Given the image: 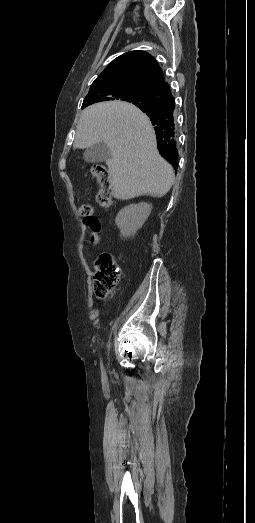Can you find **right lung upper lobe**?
Here are the masks:
<instances>
[{
  "label": "right lung upper lobe",
  "mask_w": 255,
  "mask_h": 523,
  "mask_svg": "<svg viewBox=\"0 0 255 523\" xmlns=\"http://www.w3.org/2000/svg\"><path fill=\"white\" fill-rule=\"evenodd\" d=\"M127 89H138L151 99L149 106L133 102L146 113L154 125L160 154L177 167L178 151L175 141L174 97L157 61L140 50L130 51L114 59L92 83L83 108L106 101L113 94Z\"/></svg>",
  "instance_id": "1"
}]
</instances>
